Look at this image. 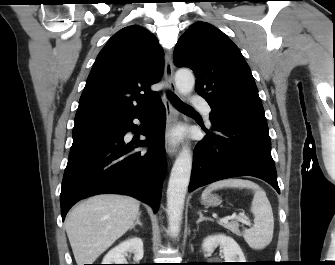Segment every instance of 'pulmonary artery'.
Returning <instances> with one entry per match:
<instances>
[{"mask_svg":"<svg viewBox=\"0 0 335 265\" xmlns=\"http://www.w3.org/2000/svg\"><path fill=\"white\" fill-rule=\"evenodd\" d=\"M191 105L195 108L200 109L206 116V118H209V115L211 114V107L202 97L194 95L191 98Z\"/></svg>","mask_w":335,"mask_h":265,"instance_id":"1","label":"pulmonary artery"}]
</instances>
